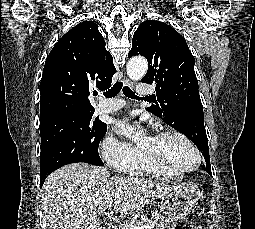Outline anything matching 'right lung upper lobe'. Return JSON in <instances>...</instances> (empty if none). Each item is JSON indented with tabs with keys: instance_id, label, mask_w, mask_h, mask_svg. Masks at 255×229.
<instances>
[{
	"instance_id": "obj_1",
	"label": "right lung upper lobe",
	"mask_w": 255,
	"mask_h": 229,
	"mask_svg": "<svg viewBox=\"0 0 255 229\" xmlns=\"http://www.w3.org/2000/svg\"><path fill=\"white\" fill-rule=\"evenodd\" d=\"M94 22L68 31L49 53L41 79L40 116L93 113L88 96L106 90L116 73L112 55Z\"/></svg>"
}]
</instances>
